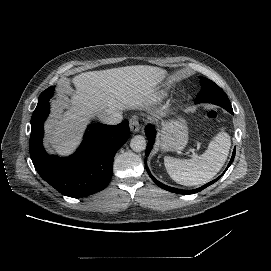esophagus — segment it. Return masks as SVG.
Returning a JSON list of instances; mask_svg holds the SVG:
<instances>
[{
    "mask_svg": "<svg viewBox=\"0 0 271 271\" xmlns=\"http://www.w3.org/2000/svg\"><path fill=\"white\" fill-rule=\"evenodd\" d=\"M130 130L133 134L138 133L140 130V125H139V121H138V117L137 116H132L130 118Z\"/></svg>",
    "mask_w": 271,
    "mask_h": 271,
    "instance_id": "34e87169",
    "label": "esophagus"
}]
</instances>
